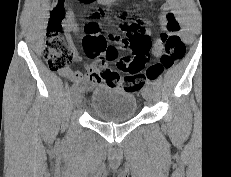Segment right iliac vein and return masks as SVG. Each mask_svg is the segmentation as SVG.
<instances>
[{
    "label": "right iliac vein",
    "instance_id": "63e3f726",
    "mask_svg": "<svg viewBox=\"0 0 231 177\" xmlns=\"http://www.w3.org/2000/svg\"><path fill=\"white\" fill-rule=\"evenodd\" d=\"M82 94H83V90L80 88H76L72 94V104L73 106H77L78 104H80L81 100H82Z\"/></svg>",
    "mask_w": 231,
    "mask_h": 177
}]
</instances>
